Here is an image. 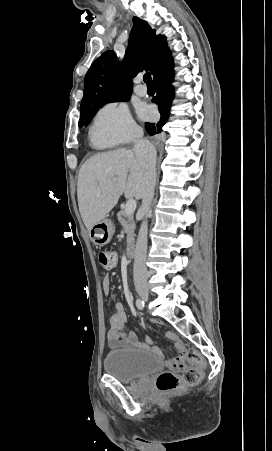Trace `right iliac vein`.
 <instances>
[{
    "label": "right iliac vein",
    "mask_w": 272,
    "mask_h": 451,
    "mask_svg": "<svg viewBox=\"0 0 272 451\" xmlns=\"http://www.w3.org/2000/svg\"><path fill=\"white\" fill-rule=\"evenodd\" d=\"M138 295L143 299L144 301L149 300V290L147 287H141L137 289Z\"/></svg>",
    "instance_id": "obj_1"
}]
</instances>
